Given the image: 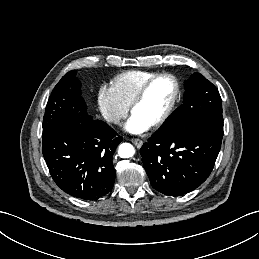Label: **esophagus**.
I'll list each match as a JSON object with an SVG mask.
<instances>
[{
    "instance_id": "esophagus-1",
    "label": "esophagus",
    "mask_w": 259,
    "mask_h": 259,
    "mask_svg": "<svg viewBox=\"0 0 259 259\" xmlns=\"http://www.w3.org/2000/svg\"><path fill=\"white\" fill-rule=\"evenodd\" d=\"M130 141H131L137 148H141V146L143 145V141L140 140V139L132 138V139H130Z\"/></svg>"
}]
</instances>
